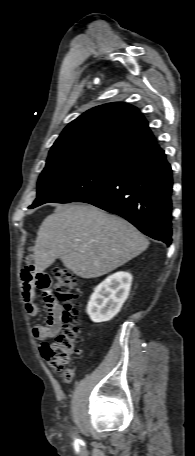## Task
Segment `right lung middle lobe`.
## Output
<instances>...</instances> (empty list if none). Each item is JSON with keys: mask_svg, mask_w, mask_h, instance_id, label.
Segmentation results:
<instances>
[{"mask_svg": "<svg viewBox=\"0 0 195 456\" xmlns=\"http://www.w3.org/2000/svg\"><path fill=\"white\" fill-rule=\"evenodd\" d=\"M122 168L90 159L47 163L39 177L37 198L30 208L48 202H74L102 186Z\"/></svg>", "mask_w": 195, "mask_h": 456, "instance_id": "right-lung-middle-lobe-1", "label": "right lung middle lobe"}]
</instances>
